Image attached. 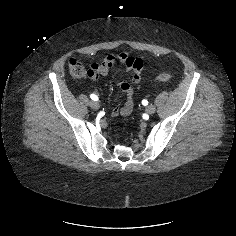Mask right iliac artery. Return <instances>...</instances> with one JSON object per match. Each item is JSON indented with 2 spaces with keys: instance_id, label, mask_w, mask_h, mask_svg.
Returning <instances> with one entry per match:
<instances>
[{
  "instance_id": "obj_1",
  "label": "right iliac artery",
  "mask_w": 236,
  "mask_h": 236,
  "mask_svg": "<svg viewBox=\"0 0 236 236\" xmlns=\"http://www.w3.org/2000/svg\"><path fill=\"white\" fill-rule=\"evenodd\" d=\"M90 98L94 101H97L98 100V97L95 95V94H91L90 95Z\"/></svg>"
}]
</instances>
